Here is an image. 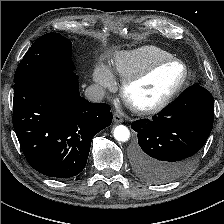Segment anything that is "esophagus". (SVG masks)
I'll return each mask as SVG.
<instances>
[{"label": "esophagus", "mask_w": 224, "mask_h": 224, "mask_svg": "<svg viewBox=\"0 0 224 224\" xmlns=\"http://www.w3.org/2000/svg\"><path fill=\"white\" fill-rule=\"evenodd\" d=\"M113 121H114V123L119 124V123L123 122V118L118 113H114Z\"/></svg>", "instance_id": "34e87169"}]
</instances>
